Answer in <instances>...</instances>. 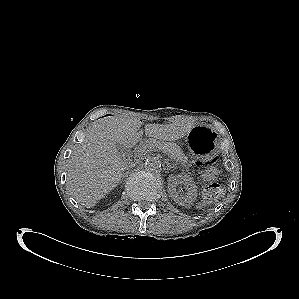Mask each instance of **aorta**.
Instances as JSON below:
<instances>
[{
	"instance_id": "obj_1",
	"label": "aorta",
	"mask_w": 299,
	"mask_h": 299,
	"mask_svg": "<svg viewBox=\"0 0 299 299\" xmlns=\"http://www.w3.org/2000/svg\"><path fill=\"white\" fill-rule=\"evenodd\" d=\"M144 167L147 171L155 172L161 169L162 162L157 157H149L146 159Z\"/></svg>"
}]
</instances>
